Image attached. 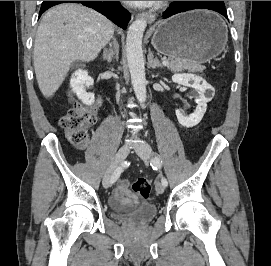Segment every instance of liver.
<instances>
[{
    "label": "liver",
    "instance_id": "6515ba94",
    "mask_svg": "<svg viewBox=\"0 0 271 266\" xmlns=\"http://www.w3.org/2000/svg\"><path fill=\"white\" fill-rule=\"evenodd\" d=\"M113 34V23L91 8L68 3L48 10L38 27L33 51L42 94L52 96L75 61L96 59Z\"/></svg>",
    "mask_w": 271,
    "mask_h": 266
}]
</instances>
